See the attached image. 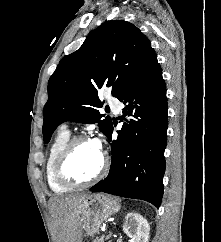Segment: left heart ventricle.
Masks as SVG:
<instances>
[{
	"label": "left heart ventricle",
	"mask_w": 221,
	"mask_h": 242,
	"mask_svg": "<svg viewBox=\"0 0 221 242\" xmlns=\"http://www.w3.org/2000/svg\"><path fill=\"white\" fill-rule=\"evenodd\" d=\"M102 152L90 141L78 143L67 164V172L77 179H89L99 170Z\"/></svg>",
	"instance_id": "left-heart-ventricle-1"
}]
</instances>
